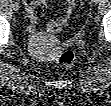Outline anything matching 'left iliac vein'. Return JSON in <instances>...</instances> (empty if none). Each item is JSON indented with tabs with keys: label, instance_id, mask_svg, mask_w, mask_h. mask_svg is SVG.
I'll use <instances>...</instances> for the list:
<instances>
[{
	"label": "left iliac vein",
	"instance_id": "left-iliac-vein-1",
	"mask_svg": "<svg viewBox=\"0 0 111 106\" xmlns=\"http://www.w3.org/2000/svg\"><path fill=\"white\" fill-rule=\"evenodd\" d=\"M92 1L96 4L98 0H92Z\"/></svg>",
	"mask_w": 111,
	"mask_h": 106
}]
</instances>
